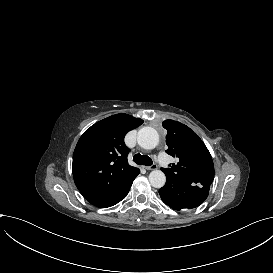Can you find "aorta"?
<instances>
[{
	"mask_svg": "<svg viewBox=\"0 0 273 273\" xmlns=\"http://www.w3.org/2000/svg\"><path fill=\"white\" fill-rule=\"evenodd\" d=\"M138 144L147 150L154 149L159 144L158 132L151 127H143L137 135ZM149 182L155 188H161L166 183V176L161 170H153L149 174Z\"/></svg>",
	"mask_w": 273,
	"mask_h": 273,
	"instance_id": "762f6f07",
	"label": "aorta"
}]
</instances>
